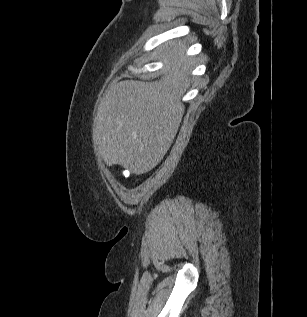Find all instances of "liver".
Returning a JSON list of instances; mask_svg holds the SVG:
<instances>
[{"mask_svg":"<svg viewBox=\"0 0 307 317\" xmlns=\"http://www.w3.org/2000/svg\"><path fill=\"white\" fill-rule=\"evenodd\" d=\"M180 41L165 45L160 60L167 64L158 81L113 83L100 101L93 139L107 166L118 164L137 175L152 170L170 148L190 87L192 60Z\"/></svg>","mask_w":307,"mask_h":317,"instance_id":"1","label":"liver"}]
</instances>
